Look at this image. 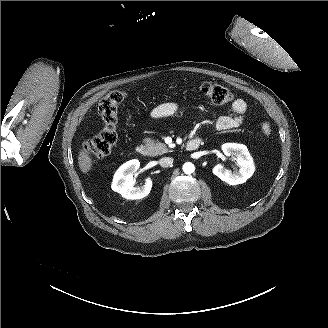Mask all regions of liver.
<instances>
[{"label":"liver","mask_w":328,"mask_h":328,"mask_svg":"<svg viewBox=\"0 0 328 328\" xmlns=\"http://www.w3.org/2000/svg\"><path fill=\"white\" fill-rule=\"evenodd\" d=\"M79 168L83 173H88L92 167V159L87 150H81L78 156Z\"/></svg>","instance_id":"1"}]
</instances>
